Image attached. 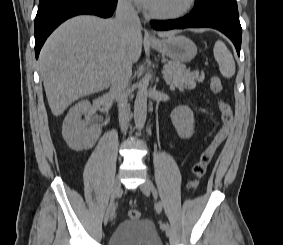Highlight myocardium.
I'll return each instance as SVG.
<instances>
[{"instance_id":"1","label":"myocardium","mask_w":283,"mask_h":245,"mask_svg":"<svg viewBox=\"0 0 283 245\" xmlns=\"http://www.w3.org/2000/svg\"><path fill=\"white\" fill-rule=\"evenodd\" d=\"M197 0H187L185 5L179 10L171 13H159L146 9V15L150 18L160 20H173L187 15L195 7Z\"/></svg>"}]
</instances>
